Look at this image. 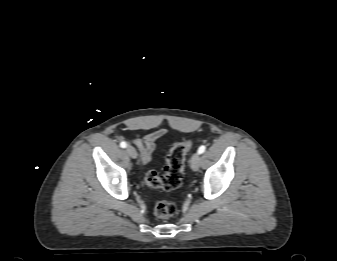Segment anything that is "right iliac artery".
I'll list each match as a JSON object with an SVG mask.
<instances>
[{
  "mask_svg": "<svg viewBox=\"0 0 337 261\" xmlns=\"http://www.w3.org/2000/svg\"><path fill=\"white\" fill-rule=\"evenodd\" d=\"M120 146H121L122 148H126V147H127V143L123 141V142L120 143Z\"/></svg>",
  "mask_w": 337,
  "mask_h": 261,
  "instance_id": "1",
  "label": "right iliac artery"
}]
</instances>
